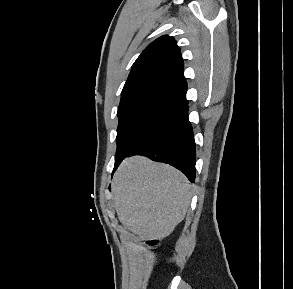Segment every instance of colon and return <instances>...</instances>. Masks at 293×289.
Here are the masks:
<instances>
[{
  "label": "colon",
  "mask_w": 293,
  "mask_h": 289,
  "mask_svg": "<svg viewBox=\"0 0 293 289\" xmlns=\"http://www.w3.org/2000/svg\"><path fill=\"white\" fill-rule=\"evenodd\" d=\"M149 244H150L151 246H156V245H157V241H155V240H151V241H149Z\"/></svg>",
  "instance_id": "5ec220e1"
}]
</instances>
